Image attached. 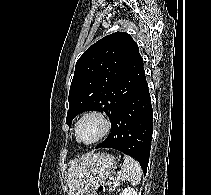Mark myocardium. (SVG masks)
Listing matches in <instances>:
<instances>
[{
	"label": "myocardium",
	"instance_id": "obj_1",
	"mask_svg": "<svg viewBox=\"0 0 211 195\" xmlns=\"http://www.w3.org/2000/svg\"><path fill=\"white\" fill-rule=\"evenodd\" d=\"M91 117H95L101 122L102 130L95 139L89 142H85L80 139L79 130L83 121ZM111 127H112L111 118L106 113L102 111H98V110L89 111L85 113L83 116H81L80 119L77 121L76 126H75V137H76V140L81 144L92 145L104 139L109 134Z\"/></svg>",
	"mask_w": 211,
	"mask_h": 195
}]
</instances>
